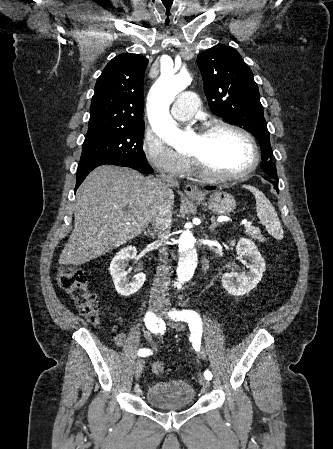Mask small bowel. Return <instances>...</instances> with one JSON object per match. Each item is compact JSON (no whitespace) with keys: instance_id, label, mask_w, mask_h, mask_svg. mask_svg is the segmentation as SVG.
Returning a JSON list of instances; mask_svg holds the SVG:
<instances>
[{"instance_id":"obj_1","label":"small bowel","mask_w":333,"mask_h":449,"mask_svg":"<svg viewBox=\"0 0 333 449\" xmlns=\"http://www.w3.org/2000/svg\"><path fill=\"white\" fill-rule=\"evenodd\" d=\"M114 341L117 346L123 347L127 343L126 335L124 333H119L114 337Z\"/></svg>"}]
</instances>
